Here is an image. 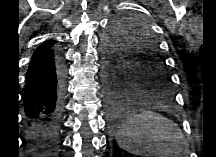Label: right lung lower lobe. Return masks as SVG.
<instances>
[{
    "mask_svg": "<svg viewBox=\"0 0 216 157\" xmlns=\"http://www.w3.org/2000/svg\"><path fill=\"white\" fill-rule=\"evenodd\" d=\"M62 70L53 50L32 58L26 76V139L31 157H53L62 115Z\"/></svg>",
    "mask_w": 216,
    "mask_h": 157,
    "instance_id": "obj_1",
    "label": "right lung lower lobe"
}]
</instances>
